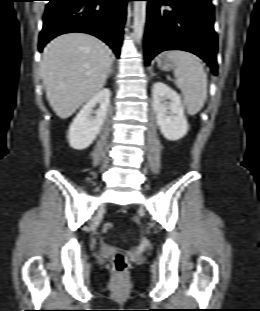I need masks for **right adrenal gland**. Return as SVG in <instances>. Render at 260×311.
<instances>
[{
	"mask_svg": "<svg viewBox=\"0 0 260 311\" xmlns=\"http://www.w3.org/2000/svg\"><path fill=\"white\" fill-rule=\"evenodd\" d=\"M112 73H113V62H112V65H111V67H110V69H109V71H108V74H107V78H106V79H108L109 76H110Z\"/></svg>",
	"mask_w": 260,
	"mask_h": 311,
	"instance_id": "2a0ac1e0",
	"label": "right adrenal gland"
}]
</instances>
